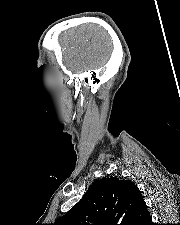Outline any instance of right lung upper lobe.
Segmentation results:
<instances>
[{"label":"right lung upper lobe","instance_id":"1","mask_svg":"<svg viewBox=\"0 0 180 225\" xmlns=\"http://www.w3.org/2000/svg\"><path fill=\"white\" fill-rule=\"evenodd\" d=\"M151 216L142 194L130 180H96L53 225H149Z\"/></svg>","mask_w":180,"mask_h":225}]
</instances>
